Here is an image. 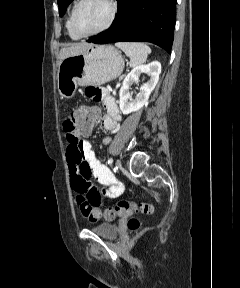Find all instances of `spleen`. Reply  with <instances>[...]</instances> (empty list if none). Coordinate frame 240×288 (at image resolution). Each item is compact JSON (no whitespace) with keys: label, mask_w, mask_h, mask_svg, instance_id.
Segmentation results:
<instances>
[{"label":"spleen","mask_w":240,"mask_h":288,"mask_svg":"<svg viewBox=\"0 0 240 288\" xmlns=\"http://www.w3.org/2000/svg\"><path fill=\"white\" fill-rule=\"evenodd\" d=\"M115 46L120 48L130 58L131 67L143 64L151 53L150 47L141 42H118Z\"/></svg>","instance_id":"obj_1"}]
</instances>
